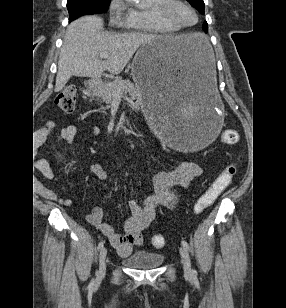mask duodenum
I'll use <instances>...</instances> for the list:
<instances>
[{
	"mask_svg": "<svg viewBox=\"0 0 286 308\" xmlns=\"http://www.w3.org/2000/svg\"><path fill=\"white\" fill-rule=\"evenodd\" d=\"M99 87H100V82L99 81L95 82L93 85V89H98Z\"/></svg>",
	"mask_w": 286,
	"mask_h": 308,
	"instance_id": "obj_1",
	"label": "duodenum"
}]
</instances>
